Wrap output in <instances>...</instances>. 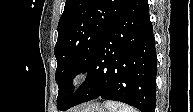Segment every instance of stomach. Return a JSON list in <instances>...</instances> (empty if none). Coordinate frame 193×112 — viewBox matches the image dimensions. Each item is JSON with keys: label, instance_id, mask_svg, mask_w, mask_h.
Wrapping results in <instances>:
<instances>
[{"label": "stomach", "instance_id": "obj_1", "mask_svg": "<svg viewBox=\"0 0 193 112\" xmlns=\"http://www.w3.org/2000/svg\"><path fill=\"white\" fill-rule=\"evenodd\" d=\"M78 111L79 112H105L104 108L99 103H89Z\"/></svg>", "mask_w": 193, "mask_h": 112}]
</instances>
